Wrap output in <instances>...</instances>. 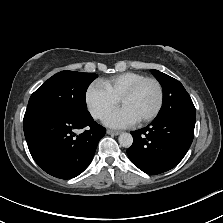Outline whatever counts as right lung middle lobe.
<instances>
[{
	"label": "right lung middle lobe",
	"instance_id": "obj_1",
	"mask_svg": "<svg viewBox=\"0 0 223 223\" xmlns=\"http://www.w3.org/2000/svg\"><path fill=\"white\" fill-rule=\"evenodd\" d=\"M94 73L61 71L49 78L30 97L24 121L45 116L89 118L86 90Z\"/></svg>",
	"mask_w": 223,
	"mask_h": 223
}]
</instances>
